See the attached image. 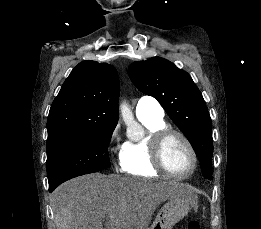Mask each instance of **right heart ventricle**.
I'll list each match as a JSON object with an SVG mask.
<instances>
[{
    "instance_id": "obj_1",
    "label": "right heart ventricle",
    "mask_w": 261,
    "mask_h": 229,
    "mask_svg": "<svg viewBox=\"0 0 261 229\" xmlns=\"http://www.w3.org/2000/svg\"><path fill=\"white\" fill-rule=\"evenodd\" d=\"M146 129L143 138L125 142L120 150L122 166L131 175L153 176L159 172L152 160V142L154 136L167 125L164 118H139Z\"/></svg>"
}]
</instances>
